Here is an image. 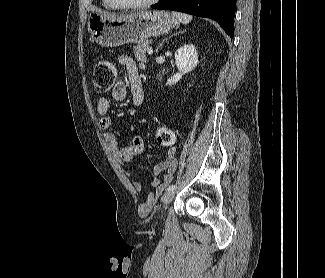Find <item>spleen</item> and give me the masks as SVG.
<instances>
[{"mask_svg":"<svg viewBox=\"0 0 325 278\" xmlns=\"http://www.w3.org/2000/svg\"><path fill=\"white\" fill-rule=\"evenodd\" d=\"M173 16H175L179 22L183 24H187L192 20V16L184 13L173 12Z\"/></svg>","mask_w":325,"mask_h":278,"instance_id":"obj_1","label":"spleen"}]
</instances>
